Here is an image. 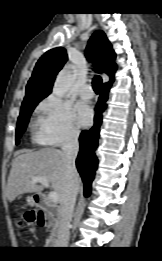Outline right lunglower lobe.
Listing matches in <instances>:
<instances>
[{
  "instance_id": "1",
  "label": "right lung lower lobe",
  "mask_w": 162,
  "mask_h": 261,
  "mask_svg": "<svg viewBox=\"0 0 162 261\" xmlns=\"http://www.w3.org/2000/svg\"><path fill=\"white\" fill-rule=\"evenodd\" d=\"M109 89L110 86L102 87V91L95 108L96 114L94 117V126L88 131H82L79 138L80 151L76 160V166L84 183L85 196H89L91 193V184L98 165L95 149L98 145L99 131L102 123V112L106 108L105 101L108 98Z\"/></svg>"
}]
</instances>
